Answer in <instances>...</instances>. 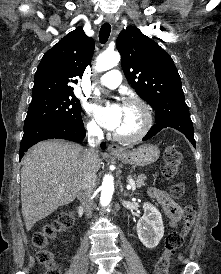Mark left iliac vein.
I'll use <instances>...</instances> for the list:
<instances>
[{"instance_id": "4c4485c4", "label": "left iliac vein", "mask_w": 221, "mask_h": 274, "mask_svg": "<svg viewBox=\"0 0 221 274\" xmlns=\"http://www.w3.org/2000/svg\"><path fill=\"white\" fill-rule=\"evenodd\" d=\"M114 274H121V273H120V272H118V271H115V272H114Z\"/></svg>"}]
</instances>
